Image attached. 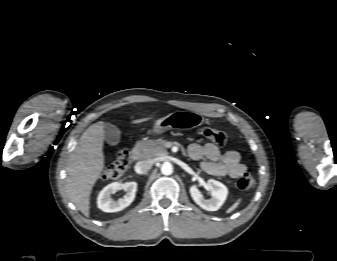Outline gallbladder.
<instances>
[{"instance_id":"bac80fb5","label":"gallbladder","mask_w":337,"mask_h":261,"mask_svg":"<svg viewBox=\"0 0 337 261\" xmlns=\"http://www.w3.org/2000/svg\"><path fill=\"white\" fill-rule=\"evenodd\" d=\"M120 134L121 132L116 126L112 124L104 126L105 139L110 146H115L120 142Z\"/></svg>"}]
</instances>
